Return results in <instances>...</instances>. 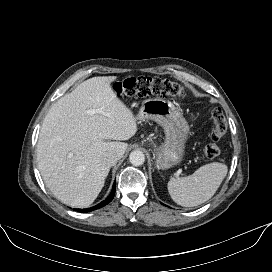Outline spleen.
Here are the masks:
<instances>
[{"mask_svg": "<svg viewBox=\"0 0 272 272\" xmlns=\"http://www.w3.org/2000/svg\"><path fill=\"white\" fill-rule=\"evenodd\" d=\"M227 171V166L222 163L203 165L189 176L172 178L168 182V192L178 205L198 206L213 197Z\"/></svg>", "mask_w": 272, "mask_h": 272, "instance_id": "1", "label": "spleen"}]
</instances>
